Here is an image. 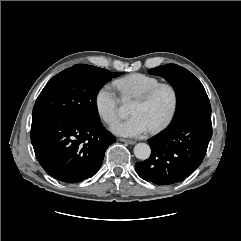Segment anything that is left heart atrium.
I'll return each mask as SVG.
<instances>
[{
	"mask_svg": "<svg viewBox=\"0 0 241 241\" xmlns=\"http://www.w3.org/2000/svg\"><path fill=\"white\" fill-rule=\"evenodd\" d=\"M111 130L124 137H140L148 133L151 128L141 115H132L127 119L116 121Z\"/></svg>",
	"mask_w": 241,
	"mask_h": 241,
	"instance_id": "1",
	"label": "left heart atrium"
}]
</instances>
